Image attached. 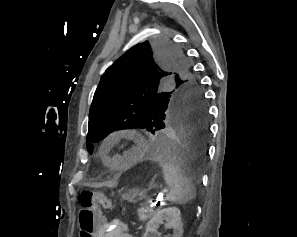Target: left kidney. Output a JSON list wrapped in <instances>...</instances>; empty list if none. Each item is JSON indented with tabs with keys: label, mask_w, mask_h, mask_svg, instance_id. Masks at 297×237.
<instances>
[{
	"label": "left kidney",
	"mask_w": 297,
	"mask_h": 237,
	"mask_svg": "<svg viewBox=\"0 0 297 237\" xmlns=\"http://www.w3.org/2000/svg\"><path fill=\"white\" fill-rule=\"evenodd\" d=\"M165 221L166 229H173L172 237H181L183 233V224L181 221V212L176 207H169L159 210L147 223L146 231L143 237H159L158 228Z\"/></svg>",
	"instance_id": "left-kidney-1"
}]
</instances>
